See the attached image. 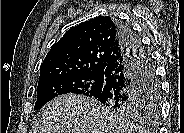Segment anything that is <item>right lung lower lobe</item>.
Returning <instances> with one entry per match:
<instances>
[{"label":"right lung lower lobe","mask_w":184,"mask_h":133,"mask_svg":"<svg viewBox=\"0 0 184 133\" xmlns=\"http://www.w3.org/2000/svg\"><path fill=\"white\" fill-rule=\"evenodd\" d=\"M119 47L104 70V85L94 98L106 106L137 103L151 87L152 63L141 41L120 22Z\"/></svg>","instance_id":"98d812e1"}]
</instances>
